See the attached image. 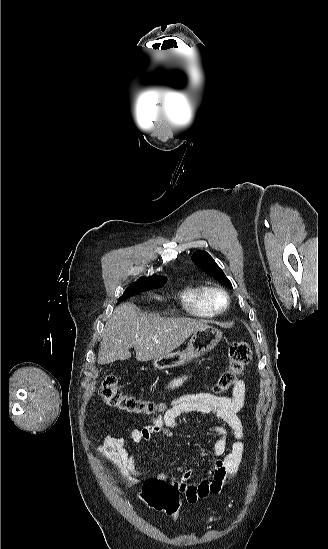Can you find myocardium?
Wrapping results in <instances>:
<instances>
[{"label": "myocardium", "mask_w": 328, "mask_h": 549, "mask_svg": "<svg viewBox=\"0 0 328 549\" xmlns=\"http://www.w3.org/2000/svg\"><path fill=\"white\" fill-rule=\"evenodd\" d=\"M211 310L215 315L225 313L231 305V297L227 290L222 287H212L209 290ZM220 300L222 302L220 303Z\"/></svg>", "instance_id": "obj_1"}]
</instances>
